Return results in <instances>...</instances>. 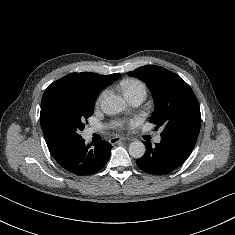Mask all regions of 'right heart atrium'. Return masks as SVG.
Listing matches in <instances>:
<instances>
[{"instance_id": "1", "label": "right heart atrium", "mask_w": 235, "mask_h": 235, "mask_svg": "<svg viewBox=\"0 0 235 235\" xmlns=\"http://www.w3.org/2000/svg\"><path fill=\"white\" fill-rule=\"evenodd\" d=\"M105 95H106V91H103V92L99 95V97H98V99H97V104H100V103H101V101L103 100V98L105 97Z\"/></svg>"}]
</instances>
